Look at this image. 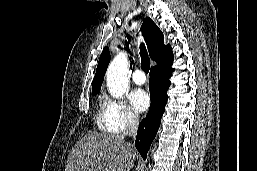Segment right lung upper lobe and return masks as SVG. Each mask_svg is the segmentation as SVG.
Segmentation results:
<instances>
[{
  "label": "right lung upper lobe",
  "instance_id": "cb5924a9",
  "mask_svg": "<svg viewBox=\"0 0 257 171\" xmlns=\"http://www.w3.org/2000/svg\"><path fill=\"white\" fill-rule=\"evenodd\" d=\"M146 40L150 57L157 65L173 61V54L170 45H164V35L158 26L149 18L143 20L141 27ZM110 62V52L105 47L100 55L96 74L92 82V93L97 94L101 89L107 66Z\"/></svg>",
  "mask_w": 257,
  "mask_h": 171
}]
</instances>
